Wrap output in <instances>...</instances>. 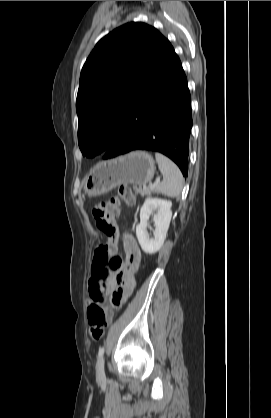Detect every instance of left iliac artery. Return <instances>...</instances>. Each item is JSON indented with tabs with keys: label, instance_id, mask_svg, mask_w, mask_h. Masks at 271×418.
I'll return each instance as SVG.
<instances>
[{
	"label": "left iliac artery",
	"instance_id": "44dca946",
	"mask_svg": "<svg viewBox=\"0 0 271 418\" xmlns=\"http://www.w3.org/2000/svg\"><path fill=\"white\" fill-rule=\"evenodd\" d=\"M104 353V347H101L98 352V357L100 358Z\"/></svg>",
	"mask_w": 271,
	"mask_h": 418
}]
</instances>
